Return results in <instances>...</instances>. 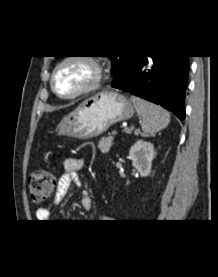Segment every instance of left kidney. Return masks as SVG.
Returning a JSON list of instances; mask_svg holds the SVG:
<instances>
[{
  "mask_svg": "<svg viewBox=\"0 0 218 277\" xmlns=\"http://www.w3.org/2000/svg\"><path fill=\"white\" fill-rule=\"evenodd\" d=\"M129 157L141 177H146L151 171L152 160L154 158V146L150 142L138 140L130 148Z\"/></svg>",
  "mask_w": 218,
  "mask_h": 277,
  "instance_id": "obj_1",
  "label": "left kidney"
}]
</instances>
